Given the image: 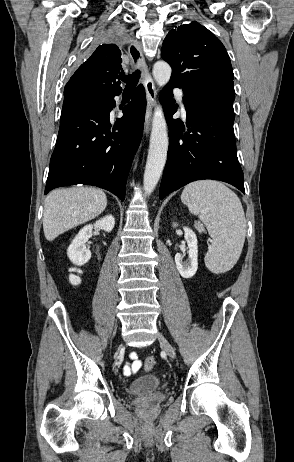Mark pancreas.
I'll list each match as a JSON object with an SVG mask.
<instances>
[{"label":"pancreas","mask_w":294,"mask_h":462,"mask_svg":"<svg viewBox=\"0 0 294 462\" xmlns=\"http://www.w3.org/2000/svg\"><path fill=\"white\" fill-rule=\"evenodd\" d=\"M195 228L199 233L205 232L204 226L202 224L196 223Z\"/></svg>","instance_id":"1"}]
</instances>
